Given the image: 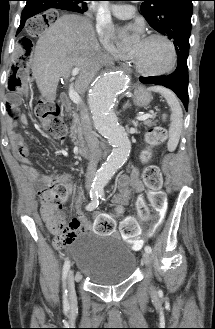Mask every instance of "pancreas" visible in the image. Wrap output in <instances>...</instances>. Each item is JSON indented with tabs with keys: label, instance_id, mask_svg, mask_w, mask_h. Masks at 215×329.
Wrapping results in <instances>:
<instances>
[{
	"label": "pancreas",
	"instance_id": "cf45deb5",
	"mask_svg": "<svg viewBox=\"0 0 215 329\" xmlns=\"http://www.w3.org/2000/svg\"><path fill=\"white\" fill-rule=\"evenodd\" d=\"M70 116H72V125L70 127L72 138H76L77 136L79 139H82V122L80 116L78 115L77 111H72ZM143 124L147 127H151L154 125V122L151 120H144Z\"/></svg>",
	"mask_w": 215,
	"mask_h": 329
}]
</instances>
